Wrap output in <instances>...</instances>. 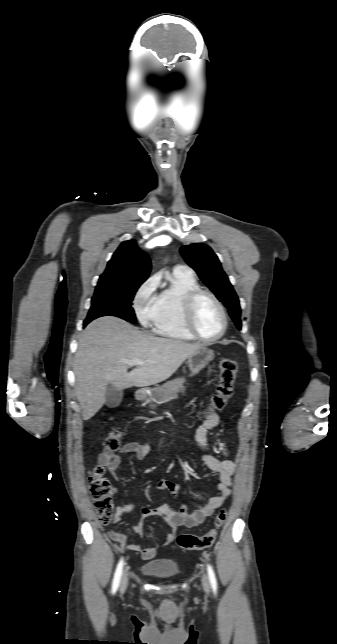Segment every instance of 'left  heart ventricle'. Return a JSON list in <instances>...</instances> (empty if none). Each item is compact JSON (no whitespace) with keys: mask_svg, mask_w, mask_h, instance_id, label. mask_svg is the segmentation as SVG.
Segmentation results:
<instances>
[{"mask_svg":"<svg viewBox=\"0 0 337 644\" xmlns=\"http://www.w3.org/2000/svg\"><path fill=\"white\" fill-rule=\"evenodd\" d=\"M195 326L199 334L205 338L215 337L222 328V316L215 302L203 296L199 299L195 310Z\"/></svg>","mask_w":337,"mask_h":644,"instance_id":"b2bd125f","label":"left heart ventricle"}]
</instances>
